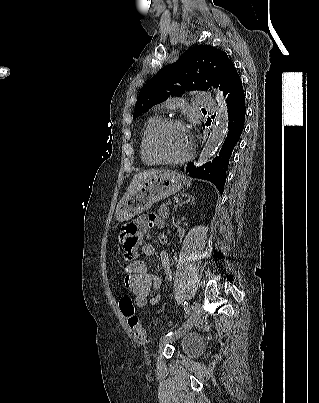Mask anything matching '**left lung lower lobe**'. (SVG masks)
I'll return each instance as SVG.
<instances>
[{
  "mask_svg": "<svg viewBox=\"0 0 319 403\" xmlns=\"http://www.w3.org/2000/svg\"><path fill=\"white\" fill-rule=\"evenodd\" d=\"M219 89L226 96L229 120L227 137L218 157L196 169L193 163H189L186 172L191 177L212 182L223 193L229 159L240 139L246 113L242 82L233 64L225 72Z\"/></svg>",
  "mask_w": 319,
  "mask_h": 403,
  "instance_id": "0a47b994",
  "label": "left lung lower lobe"
}]
</instances>
